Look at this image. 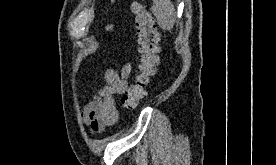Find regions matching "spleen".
<instances>
[{
  "label": "spleen",
  "mask_w": 276,
  "mask_h": 165,
  "mask_svg": "<svg viewBox=\"0 0 276 165\" xmlns=\"http://www.w3.org/2000/svg\"><path fill=\"white\" fill-rule=\"evenodd\" d=\"M152 12L163 30H171L176 21V12L171 0H153Z\"/></svg>",
  "instance_id": "spleen-1"
}]
</instances>
